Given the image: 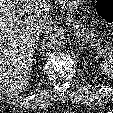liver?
I'll use <instances>...</instances> for the list:
<instances>
[{"mask_svg":"<svg viewBox=\"0 0 113 113\" xmlns=\"http://www.w3.org/2000/svg\"><path fill=\"white\" fill-rule=\"evenodd\" d=\"M16 7L29 13L20 19ZM49 0H0V90L14 96L29 85L37 28L51 25Z\"/></svg>","mask_w":113,"mask_h":113,"instance_id":"1","label":"liver"}]
</instances>
